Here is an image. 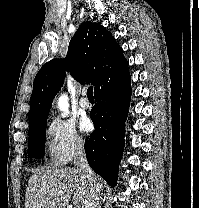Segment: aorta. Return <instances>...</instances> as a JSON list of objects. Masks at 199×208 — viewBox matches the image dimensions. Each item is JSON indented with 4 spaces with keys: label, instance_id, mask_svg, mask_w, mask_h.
Wrapping results in <instances>:
<instances>
[{
    "label": "aorta",
    "instance_id": "obj_1",
    "mask_svg": "<svg viewBox=\"0 0 199 208\" xmlns=\"http://www.w3.org/2000/svg\"><path fill=\"white\" fill-rule=\"evenodd\" d=\"M58 107L63 112L64 115L68 114L69 104H68V97H67V95H62L61 97H59V99H58Z\"/></svg>",
    "mask_w": 199,
    "mask_h": 208
}]
</instances>
